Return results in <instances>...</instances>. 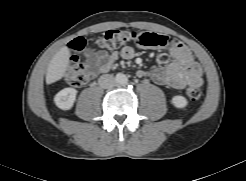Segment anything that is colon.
<instances>
[{"mask_svg": "<svg viewBox=\"0 0 246 181\" xmlns=\"http://www.w3.org/2000/svg\"><path fill=\"white\" fill-rule=\"evenodd\" d=\"M175 40L169 36L157 34L154 32H137L131 30L112 29L106 31L97 41L101 48L118 49L127 44L134 43L145 48H164L170 47ZM85 39L77 37L71 43V49L74 52L82 51L85 47ZM92 78L91 71L87 64L82 62L77 55L70 58L67 80L74 87L86 85ZM186 95L191 100H198L202 96V90L196 85L189 86L186 89Z\"/></svg>", "mask_w": 246, "mask_h": 181, "instance_id": "obj_1", "label": "colon"}]
</instances>
